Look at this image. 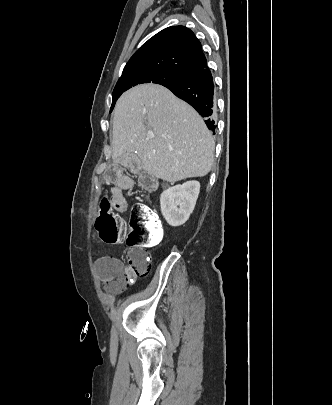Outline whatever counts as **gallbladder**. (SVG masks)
I'll use <instances>...</instances> for the list:
<instances>
[{"mask_svg":"<svg viewBox=\"0 0 332 405\" xmlns=\"http://www.w3.org/2000/svg\"><path fill=\"white\" fill-rule=\"evenodd\" d=\"M134 160H138V156L136 154H132Z\"/></svg>","mask_w":332,"mask_h":405,"instance_id":"obj_1","label":"gallbladder"}]
</instances>
